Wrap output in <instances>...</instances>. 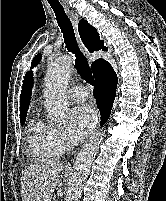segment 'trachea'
<instances>
[{"label":"trachea","mask_w":166,"mask_h":201,"mask_svg":"<svg viewBox=\"0 0 166 201\" xmlns=\"http://www.w3.org/2000/svg\"><path fill=\"white\" fill-rule=\"evenodd\" d=\"M58 23V26L63 33L64 43L69 52L73 53L76 57L75 68L77 69L80 77L87 81V83L95 86L94 77L87 63L85 56L81 53L78 48L77 41L74 34L72 23L66 15L63 7L51 6Z\"/></svg>","instance_id":"3493384b"}]
</instances>
